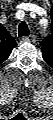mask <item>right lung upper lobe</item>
<instances>
[{"label":"right lung upper lobe","instance_id":"right-lung-upper-lobe-1","mask_svg":"<svg viewBox=\"0 0 53 120\" xmlns=\"http://www.w3.org/2000/svg\"><path fill=\"white\" fill-rule=\"evenodd\" d=\"M17 46L15 39L2 26L0 29V62H4L13 48Z\"/></svg>","mask_w":53,"mask_h":120}]
</instances>
